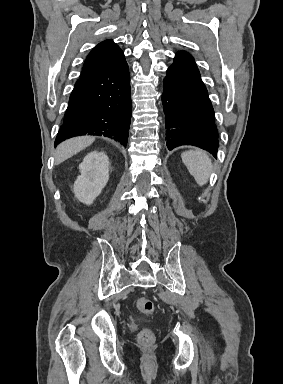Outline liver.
<instances>
[{
  "label": "liver",
  "mask_w": 283,
  "mask_h": 384,
  "mask_svg": "<svg viewBox=\"0 0 283 384\" xmlns=\"http://www.w3.org/2000/svg\"><path fill=\"white\" fill-rule=\"evenodd\" d=\"M95 138L94 136H80V138H71V140H66V142H62L59 144L56 152H55V164H61V162H65L68 158H72L81 150H85L88 146L93 144Z\"/></svg>",
  "instance_id": "liver-1"
}]
</instances>
